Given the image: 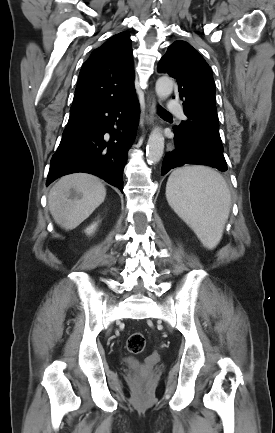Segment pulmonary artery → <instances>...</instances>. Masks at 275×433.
<instances>
[{"label": "pulmonary artery", "mask_w": 275, "mask_h": 433, "mask_svg": "<svg viewBox=\"0 0 275 433\" xmlns=\"http://www.w3.org/2000/svg\"><path fill=\"white\" fill-rule=\"evenodd\" d=\"M168 113L178 114L181 118H184V114L181 110V105L176 101H169L166 107Z\"/></svg>", "instance_id": "1"}]
</instances>
